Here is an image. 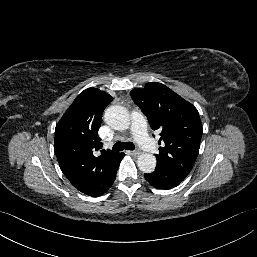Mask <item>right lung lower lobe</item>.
Instances as JSON below:
<instances>
[{
    "instance_id": "1",
    "label": "right lung lower lobe",
    "mask_w": 257,
    "mask_h": 257,
    "mask_svg": "<svg viewBox=\"0 0 257 257\" xmlns=\"http://www.w3.org/2000/svg\"><path fill=\"white\" fill-rule=\"evenodd\" d=\"M123 157H124V153H120V155H119V157H118V159H117V162H116V164H115V167H114V169H113V173H112V176H111L110 181H109V183H108V186H107V188L105 189L104 192H106V191L112 186V184H113V182H114V180H115V177H116V172H117L119 163H120V161L122 160ZM104 192H103V193H104ZM103 193H102V194H103ZM102 194H101V195H102Z\"/></svg>"
}]
</instances>
